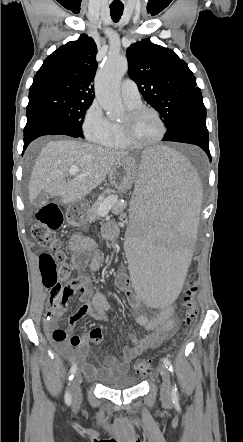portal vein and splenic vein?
<instances>
[{
    "mask_svg": "<svg viewBox=\"0 0 243 442\" xmlns=\"http://www.w3.org/2000/svg\"><path fill=\"white\" fill-rule=\"evenodd\" d=\"M78 172L79 168L77 166H73L69 169V175H77ZM115 202L116 197H112L109 200L105 201L98 209L100 216L107 215Z\"/></svg>",
    "mask_w": 243,
    "mask_h": 442,
    "instance_id": "obj_1",
    "label": "portal vein and splenic vein"
}]
</instances>
